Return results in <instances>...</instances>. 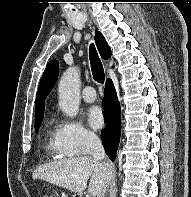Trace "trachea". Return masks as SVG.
I'll return each instance as SVG.
<instances>
[{
    "mask_svg": "<svg viewBox=\"0 0 191 197\" xmlns=\"http://www.w3.org/2000/svg\"><path fill=\"white\" fill-rule=\"evenodd\" d=\"M89 54L93 79L98 83L103 84L105 80L104 68L94 44L90 45Z\"/></svg>",
    "mask_w": 191,
    "mask_h": 197,
    "instance_id": "1",
    "label": "trachea"
}]
</instances>
